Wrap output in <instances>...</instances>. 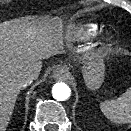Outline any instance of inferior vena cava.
I'll use <instances>...</instances> for the list:
<instances>
[{"mask_svg": "<svg viewBox=\"0 0 131 131\" xmlns=\"http://www.w3.org/2000/svg\"><path fill=\"white\" fill-rule=\"evenodd\" d=\"M36 77L37 74L33 70L24 72L20 76L19 83L22 87H26L27 85L31 84Z\"/></svg>", "mask_w": 131, "mask_h": 131, "instance_id": "602c4592", "label": "inferior vena cava"}]
</instances>
